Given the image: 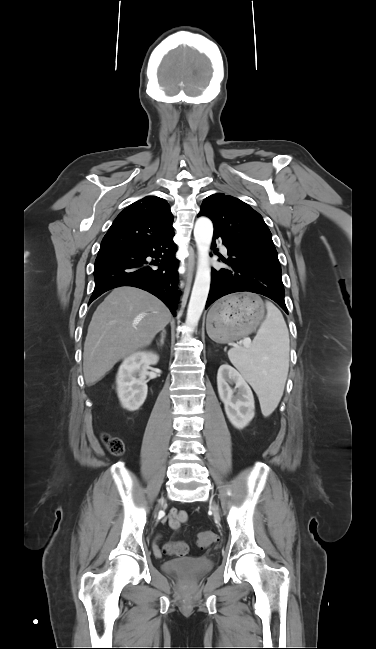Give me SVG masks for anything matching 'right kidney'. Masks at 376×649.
<instances>
[{"instance_id": "1", "label": "right kidney", "mask_w": 376, "mask_h": 649, "mask_svg": "<svg viewBox=\"0 0 376 649\" xmlns=\"http://www.w3.org/2000/svg\"><path fill=\"white\" fill-rule=\"evenodd\" d=\"M158 360L157 354L147 351L136 352L124 359L116 377L117 394L123 408L135 411L142 406L148 391V369Z\"/></svg>"}]
</instances>
